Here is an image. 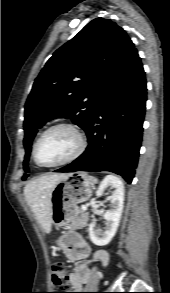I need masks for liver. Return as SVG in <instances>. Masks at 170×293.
<instances>
[{
	"instance_id": "6515ba94",
	"label": "liver",
	"mask_w": 170,
	"mask_h": 293,
	"mask_svg": "<svg viewBox=\"0 0 170 293\" xmlns=\"http://www.w3.org/2000/svg\"><path fill=\"white\" fill-rule=\"evenodd\" d=\"M66 175L65 173L46 174L30 181L24 188L25 198L46 233H50L52 224V189Z\"/></svg>"
}]
</instances>
